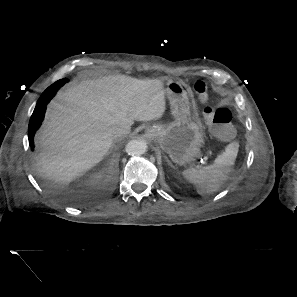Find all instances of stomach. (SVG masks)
<instances>
[{
	"instance_id": "obj_1",
	"label": "stomach",
	"mask_w": 297,
	"mask_h": 297,
	"mask_svg": "<svg viewBox=\"0 0 297 297\" xmlns=\"http://www.w3.org/2000/svg\"><path fill=\"white\" fill-rule=\"evenodd\" d=\"M165 94L170 102L174 121L168 125L147 127V133L179 165L191 163L204 144L203 126L196 112L191 88L182 80H168Z\"/></svg>"
}]
</instances>
